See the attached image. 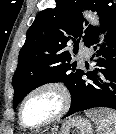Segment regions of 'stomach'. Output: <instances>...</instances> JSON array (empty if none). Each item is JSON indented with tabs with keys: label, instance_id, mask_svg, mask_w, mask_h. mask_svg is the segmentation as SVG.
<instances>
[{
	"label": "stomach",
	"instance_id": "obj_1",
	"mask_svg": "<svg viewBox=\"0 0 116 134\" xmlns=\"http://www.w3.org/2000/svg\"><path fill=\"white\" fill-rule=\"evenodd\" d=\"M51 134H92V125L88 119L75 116L67 119L60 129L52 128Z\"/></svg>",
	"mask_w": 116,
	"mask_h": 134
}]
</instances>
